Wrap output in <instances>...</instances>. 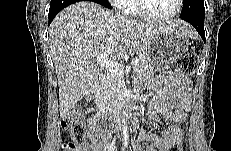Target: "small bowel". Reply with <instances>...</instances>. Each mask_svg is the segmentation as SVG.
Segmentation results:
<instances>
[{
  "label": "small bowel",
  "instance_id": "small-bowel-1",
  "mask_svg": "<svg viewBox=\"0 0 231 151\" xmlns=\"http://www.w3.org/2000/svg\"><path fill=\"white\" fill-rule=\"evenodd\" d=\"M190 81L179 72L168 71L147 84L154 96L149 102L148 117L152 123L161 120L171 124L162 127L160 133L139 130L137 151H168L173 141V126L188 119L190 109ZM139 89H142L141 87ZM99 117L88 119V140L81 145L80 151H106V132L98 125ZM147 142L146 147L142 143Z\"/></svg>",
  "mask_w": 231,
  "mask_h": 151
}]
</instances>
